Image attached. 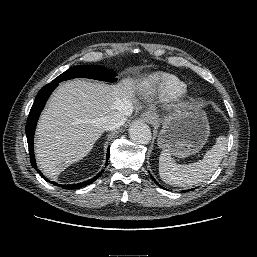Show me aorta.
Here are the masks:
<instances>
[{
  "mask_svg": "<svg viewBox=\"0 0 257 257\" xmlns=\"http://www.w3.org/2000/svg\"><path fill=\"white\" fill-rule=\"evenodd\" d=\"M130 138L139 144H148L151 140L149 126L141 121H133L129 127Z\"/></svg>",
  "mask_w": 257,
  "mask_h": 257,
  "instance_id": "aorta-1",
  "label": "aorta"
}]
</instances>
